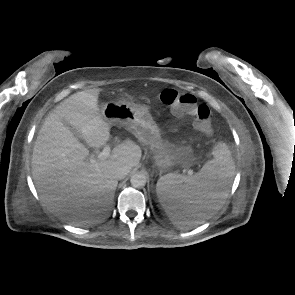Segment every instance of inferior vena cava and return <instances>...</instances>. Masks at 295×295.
Segmentation results:
<instances>
[{
  "mask_svg": "<svg viewBox=\"0 0 295 295\" xmlns=\"http://www.w3.org/2000/svg\"><path fill=\"white\" fill-rule=\"evenodd\" d=\"M128 173H129V168L127 166L118 167L115 170V178L116 179H123L126 177V175H128Z\"/></svg>",
  "mask_w": 295,
  "mask_h": 295,
  "instance_id": "obj_1",
  "label": "inferior vena cava"
}]
</instances>
